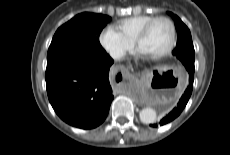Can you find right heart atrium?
Here are the masks:
<instances>
[{"label":"right heart atrium","mask_w":230,"mask_h":155,"mask_svg":"<svg viewBox=\"0 0 230 155\" xmlns=\"http://www.w3.org/2000/svg\"><path fill=\"white\" fill-rule=\"evenodd\" d=\"M99 44L113 59H122L133 47V42L126 39L116 28L105 27L99 34Z\"/></svg>","instance_id":"1"}]
</instances>
